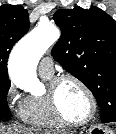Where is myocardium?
Returning a JSON list of instances; mask_svg holds the SVG:
<instances>
[{
    "label": "myocardium",
    "instance_id": "obj_1",
    "mask_svg": "<svg viewBox=\"0 0 116 134\" xmlns=\"http://www.w3.org/2000/svg\"><path fill=\"white\" fill-rule=\"evenodd\" d=\"M67 81H71L75 84H77L80 88L84 90L86 93L89 102H90V112L87 115L86 118H84L81 121H71L67 119L60 111L58 102H57V94L59 91L60 86ZM46 100L48 102V106L50 109L51 114L55 118V120L68 127H83L88 125L96 116L97 114V100L95 95L93 94L92 90L79 78L69 75V74H64V75H59L51 78L49 87L47 90V93L45 94Z\"/></svg>",
    "mask_w": 116,
    "mask_h": 134
}]
</instances>
